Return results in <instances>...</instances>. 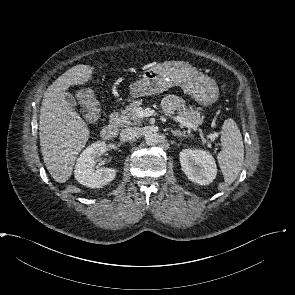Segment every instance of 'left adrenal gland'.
Instances as JSON below:
<instances>
[{
	"label": "left adrenal gland",
	"mask_w": 295,
	"mask_h": 295,
	"mask_svg": "<svg viewBox=\"0 0 295 295\" xmlns=\"http://www.w3.org/2000/svg\"><path fill=\"white\" fill-rule=\"evenodd\" d=\"M170 131L176 137H179V136H187V137L191 136L189 133H186L185 131L181 132L180 130H173V129H171Z\"/></svg>",
	"instance_id": "1"
}]
</instances>
